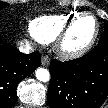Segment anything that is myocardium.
<instances>
[{
  "mask_svg": "<svg viewBox=\"0 0 108 108\" xmlns=\"http://www.w3.org/2000/svg\"><path fill=\"white\" fill-rule=\"evenodd\" d=\"M90 17L94 21V32L87 43L77 48H70L67 45L68 38L75 25L83 18ZM99 34V23L96 17L91 13H81L74 17L67 25L63 28L60 34L57 36L55 41V48L59 55L66 59H74L86 54L95 44Z\"/></svg>",
  "mask_w": 108,
  "mask_h": 108,
  "instance_id": "obj_1",
  "label": "myocardium"
}]
</instances>
